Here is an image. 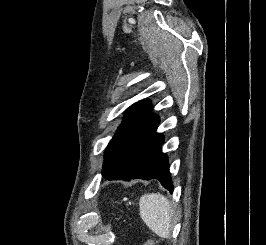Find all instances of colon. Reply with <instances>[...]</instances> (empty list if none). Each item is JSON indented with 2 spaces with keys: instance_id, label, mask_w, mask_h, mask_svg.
<instances>
[{
  "instance_id": "1",
  "label": "colon",
  "mask_w": 266,
  "mask_h": 245,
  "mask_svg": "<svg viewBox=\"0 0 266 245\" xmlns=\"http://www.w3.org/2000/svg\"><path fill=\"white\" fill-rule=\"evenodd\" d=\"M144 245H154V243L151 239H149L144 243Z\"/></svg>"
}]
</instances>
